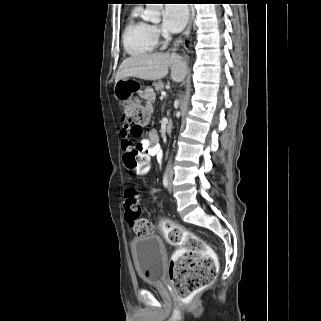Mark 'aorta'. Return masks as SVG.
I'll list each match as a JSON object with an SVG mask.
<instances>
[{"label": "aorta", "mask_w": 321, "mask_h": 321, "mask_svg": "<svg viewBox=\"0 0 321 321\" xmlns=\"http://www.w3.org/2000/svg\"><path fill=\"white\" fill-rule=\"evenodd\" d=\"M142 18L147 21L158 22L160 20L163 4H146Z\"/></svg>", "instance_id": "1"}]
</instances>
